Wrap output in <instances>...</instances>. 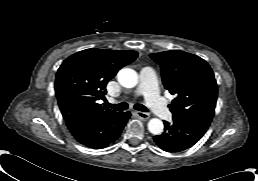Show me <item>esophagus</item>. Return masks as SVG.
Segmentation results:
<instances>
[{
	"instance_id": "esophagus-1",
	"label": "esophagus",
	"mask_w": 258,
	"mask_h": 181,
	"mask_svg": "<svg viewBox=\"0 0 258 181\" xmlns=\"http://www.w3.org/2000/svg\"><path fill=\"white\" fill-rule=\"evenodd\" d=\"M135 113L138 117H140L141 119H144V120L149 119V117H150L149 114L145 113V112L136 111Z\"/></svg>"
}]
</instances>
